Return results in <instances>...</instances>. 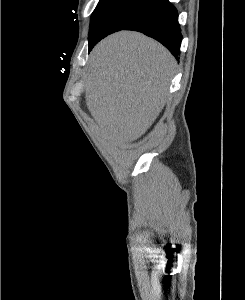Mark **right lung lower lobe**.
<instances>
[{
	"mask_svg": "<svg viewBox=\"0 0 245 300\" xmlns=\"http://www.w3.org/2000/svg\"><path fill=\"white\" fill-rule=\"evenodd\" d=\"M123 30L142 32L162 43L174 56L179 54L182 35L178 23V13L176 8L169 3V1L155 7L123 28ZM97 42L98 41L89 45V50H91Z\"/></svg>",
	"mask_w": 245,
	"mask_h": 300,
	"instance_id": "1",
	"label": "right lung lower lobe"
}]
</instances>
